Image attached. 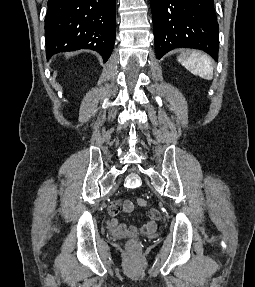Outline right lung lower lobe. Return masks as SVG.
I'll return each instance as SVG.
<instances>
[{
	"label": "right lung lower lobe",
	"instance_id": "98d812e1",
	"mask_svg": "<svg viewBox=\"0 0 255 287\" xmlns=\"http://www.w3.org/2000/svg\"><path fill=\"white\" fill-rule=\"evenodd\" d=\"M115 0H48L45 17L46 55L92 49L104 62L116 34Z\"/></svg>",
	"mask_w": 255,
	"mask_h": 287
}]
</instances>
